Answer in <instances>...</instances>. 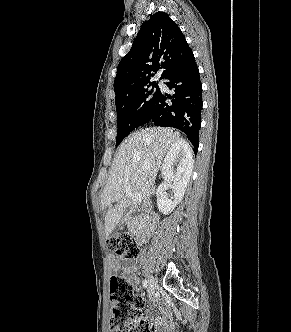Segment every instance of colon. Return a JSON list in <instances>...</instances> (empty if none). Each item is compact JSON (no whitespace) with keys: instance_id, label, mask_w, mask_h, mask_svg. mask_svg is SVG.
Segmentation results:
<instances>
[{"instance_id":"colon-1","label":"colon","mask_w":291,"mask_h":332,"mask_svg":"<svg viewBox=\"0 0 291 332\" xmlns=\"http://www.w3.org/2000/svg\"><path fill=\"white\" fill-rule=\"evenodd\" d=\"M108 248L117 256L133 260L139 247L133 235L118 233L107 239ZM111 332H153V326L142 318L143 299L133 291L131 282L120 275L110 278Z\"/></svg>"}]
</instances>
